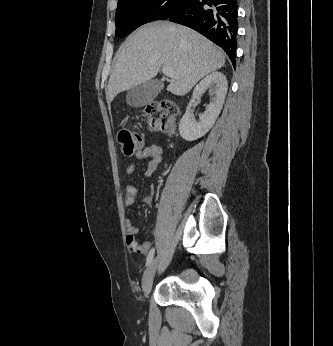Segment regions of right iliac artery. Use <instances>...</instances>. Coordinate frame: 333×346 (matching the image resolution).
Returning a JSON list of instances; mask_svg holds the SVG:
<instances>
[{"label":"right iliac artery","mask_w":333,"mask_h":346,"mask_svg":"<svg viewBox=\"0 0 333 346\" xmlns=\"http://www.w3.org/2000/svg\"><path fill=\"white\" fill-rule=\"evenodd\" d=\"M155 250L152 248L150 252L148 253L147 259H146V265H149L154 257Z\"/></svg>","instance_id":"obj_1"}]
</instances>
